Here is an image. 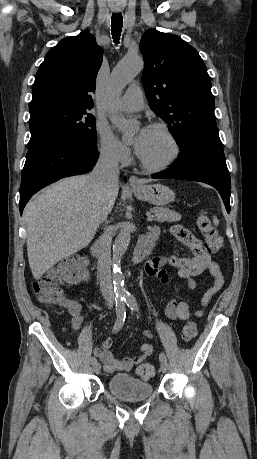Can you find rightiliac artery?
Listing matches in <instances>:
<instances>
[{"instance_id": "obj_1", "label": "right iliac artery", "mask_w": 257, "mask_h": 459, "mask_svg": "<svg viewBox=\"0 0 257 459\" xmlns=\"http://www.w3.org/2000/svg\"><path fill=\"white\" fill-rule=\"evenodd\" d=\"M115 301H116L115 303H116L117 320L113 327L114 333L119 331L122 328L125 318H126V309H125L123 296H116ZM90 362L93 365L97 363V359L95 357H91Z\"/></svg>"}]
</instances>
